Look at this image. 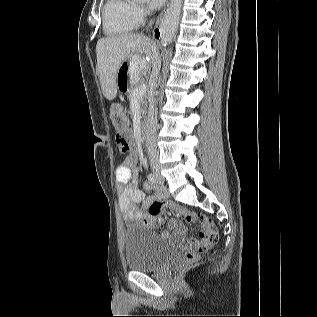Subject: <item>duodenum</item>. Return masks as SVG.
Returning a JSON list of instances; mask_svg holds the SVG:
<instances>
[{
    "instance_id": "1",
    "label": "duodenum",
    "mask_w": 317,
    "mask_h": 317,
    "mask_svg": "<svg viewBox=\"0 0 317 317\" xmlns=\"http://www.w3.org/2000/svg\"><path fill=\"white\" fill-rule=\"evenodd\" d=\"M147 130L145 125H141L140 131H139V139L143 141L146 138Z\"/></svg>"
}]
</instances>
